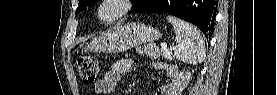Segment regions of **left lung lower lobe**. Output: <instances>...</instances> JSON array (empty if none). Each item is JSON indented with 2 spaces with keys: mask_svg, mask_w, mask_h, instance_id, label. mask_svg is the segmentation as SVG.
<instances>
[{
  "mask_svg": "<svg viewBox=\"0 0 277 95\" xmlns=\"http://www.w3.org/2000/svg\"><path fill=\"white\" fill-rule=\"evenodd\" d=\"M218 0H148L136 13L164 12L196 25L211 40Z\"/></svg>",
  "mask_w": 277,
  "mask_h": 95,
  "instance_id": "left-lung-lower-lobe-1",
  "label": "left lung lower lobe"
}]
</instances>
